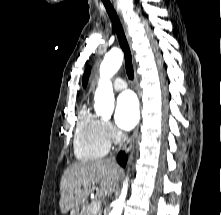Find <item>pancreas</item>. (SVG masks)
<instances>
[{
    "label": "pancreas",
    "mask_w": 221,
    "mask_h": 215,
    "mask_svg": "<svg viewBox=\"0 0 221 215\" xmlns=\"http://www.w3.org/2000/svg\"><path fill=\"white\" fill-rule=\"evenodd\" d=\"M97 208H95L93 204L88 205L83 210L82 215H100V210H98Z\"/></svg>",
    "instance_id": "pancreas-1"
}]
</instances>
